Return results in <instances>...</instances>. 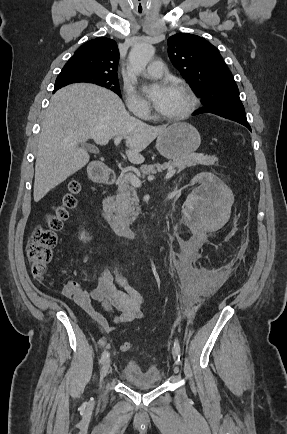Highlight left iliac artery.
<instances>
[{"instance_id":"obj_1","label":"left iliac artery","mask_w":287,"mask_h":434,"mask_svg":"<svg viewBox=\"0 0 287 434\" xmlns=\"http://www.w3.org/2000/svg\"><path fill=\"white\" fill-rule=\"evenodd\" d=\"M174 348H175V350L177 352V357H178V361H179L180 360V355H181V349H180V345H179L178 340H175V342H174Z\"/></svg>"}]
</instances>
